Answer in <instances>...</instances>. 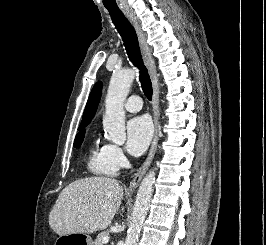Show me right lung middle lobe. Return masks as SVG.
Listing matches in <instances>:
<instances>
[{
    "instance_id": "right-lung-middle-lobe-1",
    "label": "right lung middle lobe",
    "mask_w": 266,
    "mask_h": 245,
    "mask_svg": "<svg viewBox=\"0 0 266 245\" xmlns=\"http://www.w3.org/2000/svg\"><path fill=\"white\" fill-rule=\"evenodd\" d=\"M88 124L86 125H82V126H79L78 130H81L77 135H76V138H75V141H74V147L75 148H78L81 146L82 142H83V139H84V136H85V127L87 126Z\"/></svg>"
}]
</instances>
